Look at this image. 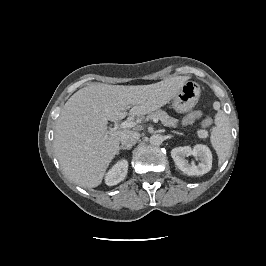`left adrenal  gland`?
Wrapping results in <instances>:
<instances>
[{
    "instance_id": "obj_1",
    "label": "left adrenal gland",
    "mask_w": 266,
    "mask_h": 266,
    "mask_svg": "<svg viewBox=\"0 0 266 266\" xmlns=\"http://www.w3.org/2000/svg\"><path fill=\"white\" fill-rule=\"evenodd\" d=\"M172 133L178 134V135H182V133H179L177 131H172Z\"/></svg>"
}]
</instances>
